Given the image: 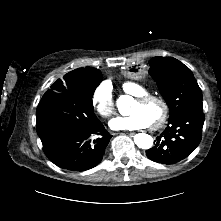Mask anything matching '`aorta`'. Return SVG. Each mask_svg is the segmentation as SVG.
<instances>
[{"instance_id":"aorta-1","label":"aorta","mask_w":221,"mask_h":221,"mask_svg":"<svg viewBox=\"0 0 221 221\" xmlns=\"http://www.w3.org/2000/svg\"><path fill=\"white\" fill-rule=\"evenodd\" d=\"M129 96H120L117 100V106L119 112L122 113L125 108L126 101L130 100ZM135 144L142 149H150L153 146V138L152 136L145 133H138L134 136Z\"/></svg>"}]
</instances>
